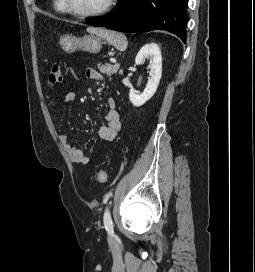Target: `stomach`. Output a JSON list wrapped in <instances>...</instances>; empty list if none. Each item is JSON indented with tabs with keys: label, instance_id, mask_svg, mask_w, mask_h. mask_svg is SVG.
Masks as SVG:
<instances>
[{
	"label": "stomach",
	"instance_id": "stomach-1",
	"mask_svg": "<svg viewBox=\"0 0 255 272\" xmlns=\"http://www.w3.org/2000/svg\"><path fill=\"white\" fill-rule=\"evenodd\" d=\"M59 42L62 49L67 53H73L78 50L98 53L103 44L102 38L94 35H85L83 37L64 35Z\"/></svg>",
	"mask_w": 255,
	"mask_h": 272
}]
</instances>
